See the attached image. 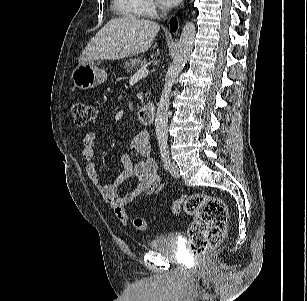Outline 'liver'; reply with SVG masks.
Returning a JSON list of instances; mask_svg holds the SVG:
<instances>
[{
  "label": "liver",
  "mask_w": 307,
  "mask_h": 301,
  "mask_svg": "<svg viewBox=\"0 0 307 301\" xmlns=\"http://www.w3.org/2000/svg\"><path fill=\"white\" fill-rule=\"evenodd\" d=\"M159 30L158 23L133 16L111 19L87 44L79 64L119 60L144 53L151 47Z\"/></svg>",
  "instance_id": "1"
}]
</instances>
